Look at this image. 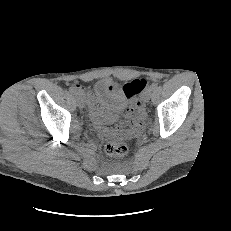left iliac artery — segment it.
<instances>
[{
  "mask_svg": "<svg viewBox=\"0 0 231 231\" xmlns=\"http://www.w3.org/2000/svg\"><path fill=\"white\" fill-rule=\"evenodd\" d=\"M157 87H158V83H152V84L150 85V88H151L152 90H155Z\"/></svg>",
  "mask_w": 231,
  "mask_h": 231,
  "instance_id": "1",
  "label": "left iliac artery"
}]
</instances>
